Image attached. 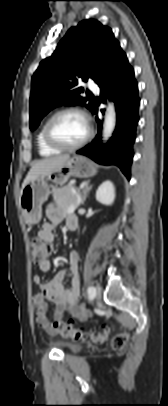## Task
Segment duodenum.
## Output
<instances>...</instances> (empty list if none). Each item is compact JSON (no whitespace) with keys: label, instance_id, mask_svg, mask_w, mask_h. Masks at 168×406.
Instances as JSON below:
<instances>
[{"label":"duodenum","instance_id":"obj_1","mask_svg":"<svg viewBox=\"0 0 168 406\" xmlns=\"http://www.w3.org/2000/svg\"><path fill=\"white\" fill-rule=\"evenodd\" d=\"M68 227H69L70 230L74 231L78 227V222L77 221H71V222H69Z\"/></svg>","mask_w":168,"mask_h":406}]
</instances>
